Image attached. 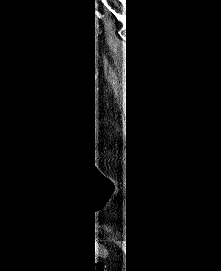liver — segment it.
Masks as SVG:
<instances>
[{
	"instance_id": "liver-1",
	"label": "liver",
	"mask_w": 221,
	"mask_h": 271,
	"mask_svg": "<svg viewBox=\"0 0 221 271\" xmlns=\"http://www.w3.org/2000/svg\"><path fill=\"white\" fill-rule=\"evenodd\" d=\"M103 255H108L107 249H103Z\"/></svg>"
}]
</instances>
